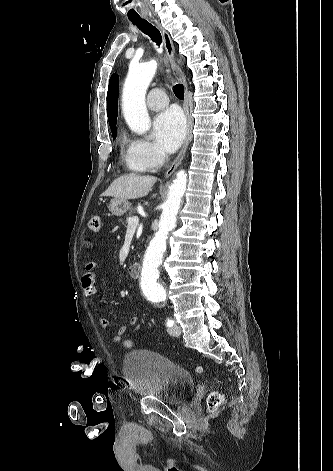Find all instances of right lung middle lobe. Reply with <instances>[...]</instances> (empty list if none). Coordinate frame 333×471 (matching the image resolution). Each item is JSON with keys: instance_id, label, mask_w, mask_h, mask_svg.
Wrapping results in <instances>:
<instances>
[{"instance_id": "1", "label": "right lung middle lobe", "mask_w": 333, "mask_h": 471, "mask_svg": "<svg viewBox=\"0 0 333 471\" xmlns=\"http://www.w3.org/2000/svg\"><path fill=\"white\" fill-rule=\"evenodd\" d=\"M112 135H113V139H115L116 138V129H115V131L112 132Z\"/></svg>"}]
</instances>
